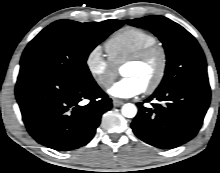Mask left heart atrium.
I'll use <instances>...</instances> for the list:
<instances>
[{
  "mask_svg": "<svg viewBox=\"0 0 220 173\" xmlns=\"http://www.w3.org/2000/svg\"><path fill=\"white\" fill-rule=\"evenodd\" d=\"M144 86L133 77H124L115 82L108 90L109 94L115 98H132L144 91Z\"/></svg>",
  "mask_w": 220,
  "mask_h": 173,
  "instance_id": "1",
  "label": "left heart atrium"
}]
</instances>
